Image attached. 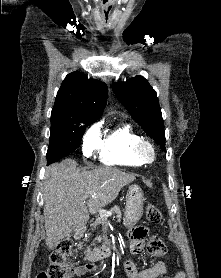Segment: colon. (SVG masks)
Returning <instances> with one entry per match:
<instances>
[{"label":"colon","mask_w":221,"mask_h":278,"mask_svg":"<svg viewBox=\"0 0 221 278\" xmlns=\"http://www.w3.org/2000/svg\"><path fill=\"white\" fill-rule=\"evenodd\" d=\"M146 219L150 225H159L163 220L162 212L155 205L149 204L146 211ZM73 243L71 240L61 241L50 254V265L46 272H41L36 278H67L70 266L67 263ZM147 251L153 257L159 258L166 254V245L160 236L150 237Z\"/></svg>","instance_id":"1"}]
</instances>
